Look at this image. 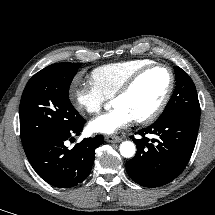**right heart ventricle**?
I'll list each match as a JSON object with an SVG mask.
<instances>
[{
  "label": "right heart ventricle",
  "mask_w": 215,
  "mask_h": 215,
  "mask_svg": "<svg viewBox=\"0 0 215 215\" xmlns=\"http://www.w3.org/2000/svg\"><path fill=\"white\" fill-rule=\"evenodd\" d=\"M152 63L149 59H134L105 64L92 71L91 81L106 98H112L134 73Z\"/></svg>",
  "instance_id": "1"
}]
</instances>
